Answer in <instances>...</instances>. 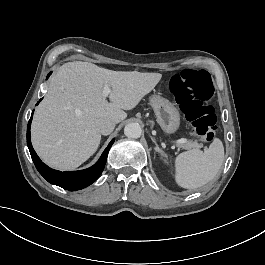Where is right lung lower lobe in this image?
<instances>
[{"label": "right lung lower lobe", "mask_w": 265, "mask_h": 265, "mask_svg": "<svg viewBox=\"0 0 265 265\" xmlns=\"http://www.w3.org/2000/svg\"><path fill=\"white\" fill-rule=\"evenodd\" d=\"M50 74L51 73L48 74V77ZM32 117H33V114L31 115V118L29 120L28 127H27V145H28L32 160L37 170L48 182H50L51 184L60 186L67 190H80L92 184L100 176V174L102 173L105 167L107 155H108L110 147L114 143V139L109 143V145L107 146V148L104 150L103 154L101 155L100 159L92 167L85 169V170H81V171H72V172L57 171L45 165L39 159V157L37 156V154L35 153L32 147L31 140H30V125H31Z\"/></svg>", "instance_id": "1"}]
</instances>
